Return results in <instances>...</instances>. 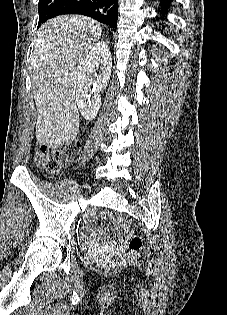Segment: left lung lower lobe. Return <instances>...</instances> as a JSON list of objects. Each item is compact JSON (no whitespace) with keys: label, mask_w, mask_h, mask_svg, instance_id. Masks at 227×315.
Listing matches in <instances>:
<instances>
[{"label":"left lung lower lobe","mask_w":227,"mask_h":315,"mask_svg":"<svg viewBox=\"0 0 227 315\" xmlns=\"http://www.w3.org/2000/svg\"><path fill=\"white\" fill-rule=\"evenodd\" d=\"M161 1V5L163 6V8L168 9L169 4L172 0H160Z\"/></svg>","instance_id":"1"}]
</instances>
